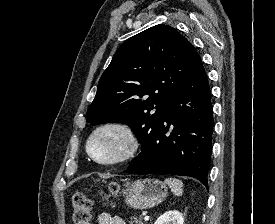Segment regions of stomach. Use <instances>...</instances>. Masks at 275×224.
Instances as JSON below:
<instances>
[{"label": "stomach", "instance_id": "0dacf381", "mask_svg": "<svg viewBox=\"0 0 275 224\" xmlns=\"http://www.w3.org/2000/svg\"><path fill=\"white\" fill-rule=\"evenodd\" d=\"M167 186L158 179H142L130 183L123 191L128 206L144 210L163 202L167 196Z\"/></svg>", "mask_w": 275, "mask_h": 224}]
</instances>
